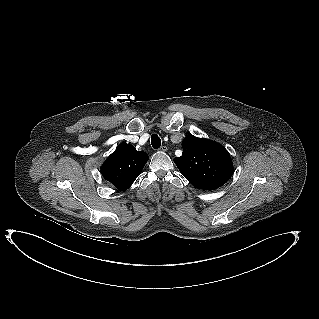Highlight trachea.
Masks as SVG:
<instances>
[{
    "mask_svg": "<svg viewBox=\"0 0 319 319\" xmlns=\"http://www.w3.org/2000/svg\"><path fill=\"white\" fill-rule=\"evenodd\" d=\"M151 144L153 146L154 149H158L161 146V139L159 138L158 135L153 134L151 136Z\"/></svg>",
    "mask_w": 319,
    "mask_h": 319,
    "instance_id": "1",
    "label": "trachea"
}]
</instances>
